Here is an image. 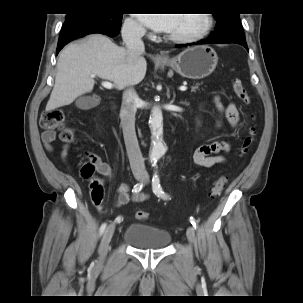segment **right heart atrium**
I'll return each instance as SVG.
<instances>
[{"mask_svg": "<svg viewBox=\"0 0 303 303\" xmlns=\"http://www.w3.org/2000/svg\"><path fill=\"white\" fill-rule=\"evenodd\" d=\"M122 29L125 34L133 37H142L146 32L143 25L133 18H126L123 22Z\"/></svg>", "mask_w": 303, "mask_h": 303, "instance_id": "d8ad5b80", "label": "right heart atrium"}]
</instances>
